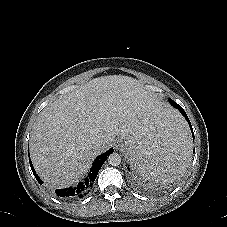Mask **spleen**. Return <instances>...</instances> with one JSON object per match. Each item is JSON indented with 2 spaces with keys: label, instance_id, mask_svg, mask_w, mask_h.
Wrapping results in <instances>:
<instances>
[{
  "label": "spleen",
  "instance_id": "obj_1",
  "mask_svg": "<svg viewBox=\"0 0 227 227\" xmlns=\"http://www.w3.org/2000/svg\"><path fill=\"white\" fill-rule=\"evenodd\" d=\"M125 141L133 164L148 179L169 183L182 177L189 166V130L166 100L155 102L151 114L128 130Z\"/></svg>",
  "mask_w": 227,
  "mask_h": 227
}]
</instances>
